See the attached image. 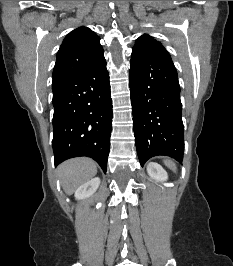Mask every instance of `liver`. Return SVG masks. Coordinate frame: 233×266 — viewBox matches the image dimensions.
I'll return each instance as SVG.
<instances>
[{
    "label": "liver",
    "mask_w": 233,
    "mask_h": 266,
    "mask_svg": "<svg viewBox=\"0 0 233 266\" xmlns=\"http://www.w3.org/2000/svg\"><path fill=\"white\" fill-rule=\"evenodd\" d=\"M57 170L62 188L71 195L97 174V164L89 158H74L63 162Z\"/></svg>",
    "instance_id": "6515ba94"
}]
</instances>
